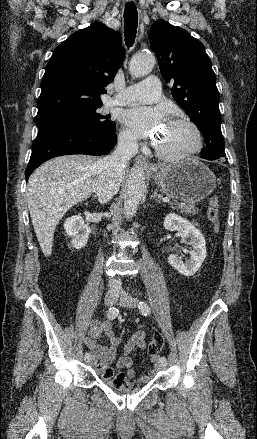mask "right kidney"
Masks as SVG:
<instances>
[{"label":"right kidney","mask_w":257,"mask_h":439,"mask_svg":"<svg viewBox=\"0 0 257 439\" xmlns=\"http://www.w3.org/2000/svg\"><path fill=\"white\" fill-rule=\"evenodd\" d=\"M64 229L66 234L72 238L71 243L74 248L81 249L87 244L91 229L80 215L67 218L64 222Z\"/></svg>","instance_id":"obj_1"}]
</instances>
